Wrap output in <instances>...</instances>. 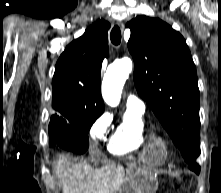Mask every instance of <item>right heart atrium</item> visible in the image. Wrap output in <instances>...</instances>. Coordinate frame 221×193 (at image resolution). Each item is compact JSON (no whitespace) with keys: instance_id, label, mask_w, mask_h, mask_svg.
Instances as JSON below:
<instances>
[{"instance_id":"1","label":"right heart atrium","mask_w":221,"mask_h":193,"mask_svg":"<svg viewBox=\"0 0 221 193\" xmlns=\"http://www.w3.org/2000/svg\"><path fill=\"white\" fill-rule=\"evenodd\" d=\"M111 116L109 113H102L93 123L90 129L91 138L98 142L106 136L108 129L111 125Z\"/></svg>"}]
</instances>
